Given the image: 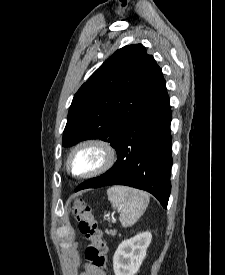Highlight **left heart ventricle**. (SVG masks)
<instances>
[{"label": "left heart ventricle", "mask_w": 225, "mask_h": 275, "mask_svg": "<svg viewBox=\"0 0 225 275\" xmlns=\"http://www.w3.org/2000/svg\"><path fill=\"white\" fill-rule=\"evenodd\" d=\"M100 160L98 152L86 149L78 152L72 159L71 167L74 172L81 173L95 167Z\"/></svg>", "instance_id": "1"}]
</instances>
